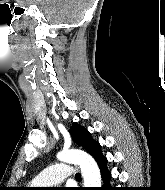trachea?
<instances>
[{
	"label": "trachea",
	"instance_id": "obj_1",
	"mask_svg": "<svg viewBox=\"0 0 165 190\" xmlns=\"http://www.w3.org/2000/svg\"><path fill=\"white\" fill-rule=\"evenodd\" d=\"M75 178H76V179H80V178H81L80 173H77V174L75 175Z\"/></svg>",
	"mask_w": 165,
	"mask_h": 190
}]
</instances>
